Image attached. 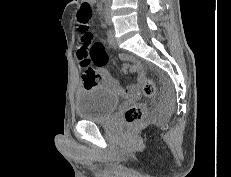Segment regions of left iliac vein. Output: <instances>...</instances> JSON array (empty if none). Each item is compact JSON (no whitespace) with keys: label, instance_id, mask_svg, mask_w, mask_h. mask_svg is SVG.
<instances>
[{"label":"left iliac vein","instance_id":"left-iliac-vein-1","mask_svg":"<svg viewBox=\"0 0 231 177\" xmlns=\"http://www.w3.org/2000/svg\"><path fill=\"white\" fill-rule=\"evenodd\" d=\"M105 22L108 25H112V21H111V13H110V6L109 4L106 7V11H105Z\"/></svg>","mask_w":231,"mask_h":177}]
</instances>
